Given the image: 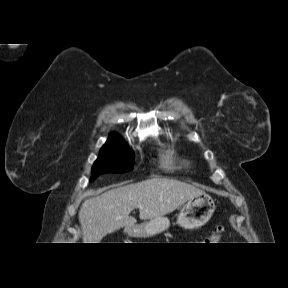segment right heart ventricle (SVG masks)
Masks as SVG:
<instances>
[{"instance_id":"right-heart-ventricle-1","label":"right heart ventricle","mask_w":288,"mask_h":288,"mask_svg":"<svg viewBox=\"0 0 288 288\" xmlns=\"http://www.w3.org/2000/svg\"><path fill=\"white\" fill-rule=\"evenodd\" d=\"M166 163H168V164H174V163H175V160H174V158H173L171 155H167V156H166Z\"/></svg>"}]
</instances>
